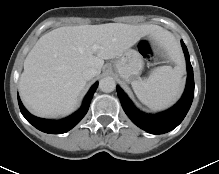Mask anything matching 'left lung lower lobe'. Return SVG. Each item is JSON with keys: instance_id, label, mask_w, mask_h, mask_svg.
Masks as SVG:
<instances>
[{"instance_id": "obj_1", "label": "left lung lower lobe", "mask_w": 219, "mask_h": 174, "mask_svg": "<svg viewBox=\"0 0 219 174\" xmlns=\"http://www.w3.org/2000/svg\"><path fill=\"white\" fill-rule=\"evenodd\" d=\"M187 63V85L179 102L171 109L157 115L145 114L138 110L123 90L117 86V94L127 116L139 128L151 134H163L176 128L186 116L194 97L193 68L190 63L189 53L184 42L181 41Z\"/></svg>"}]
</instances>
